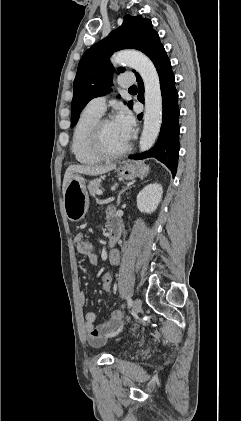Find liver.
<instances>
[{
  "label": "liver",
  "mask_w": 241,
  "mask_h": 421,
  "mask_svg": "<svg viewBox=\"0 0 241 421\" xmlns=\"http://www.w3.org/2000/svg\"><path fill=\"white\" fill-rule=\"evenodd\" d=\"M115 164H109V165H70L64 174L63 179V185H62V193L64 195L67 184L70 182L72 177L75 174H85L89 176H98L104 173H107L113 169H115Z\"/></svg>",
  "instance_id": "6515ba94"
}]
</instances>
